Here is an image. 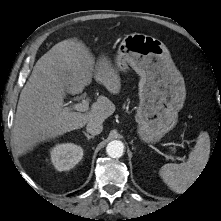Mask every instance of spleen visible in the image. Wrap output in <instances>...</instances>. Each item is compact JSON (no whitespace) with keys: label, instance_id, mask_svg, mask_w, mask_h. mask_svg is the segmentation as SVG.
I'll use <instances>...</instances> for the list:
<instances>
[{"label":"spleen","instance_id":"1","mask_svg":"<svg viewBox=\"0 0 221 221\" xmlns=\"http://www.w3.org/2000/svg\"><path fill=\"white\" fill-rule=\"evenodd\" d=\"M210 155V138L201 132L188 161L181 164L168 163L162 166L160 176L171 190L182 193L198 178Z\"/></svg>","mask_w":221,"mask_h":221}]
</instances>
